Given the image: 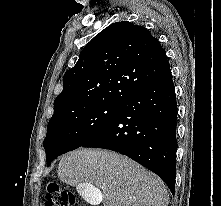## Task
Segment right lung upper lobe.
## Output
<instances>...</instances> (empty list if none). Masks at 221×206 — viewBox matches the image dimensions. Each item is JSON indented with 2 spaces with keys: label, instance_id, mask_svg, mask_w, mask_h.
<instances>
[{
  "label": "right lung upper lobe",
  "instance_id": "right-lung-upper-lobe-1",
  "mask_svg": "<svg viewBox=\"0 0 221 206\" xmlns=\"http://www.w3.org/2000/svg\"><path fill=\"white\" fill-rule=\"evenodd\" d=\"M169 67L164 49L146 28L131 22L111 24L64 74L54 114L93 103L121 105Z\"/></svg>",
  "mask_w": 221,
  "mask_h": 206
}]
</instances>
